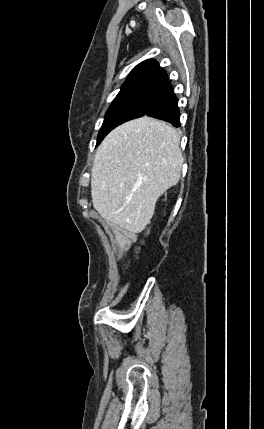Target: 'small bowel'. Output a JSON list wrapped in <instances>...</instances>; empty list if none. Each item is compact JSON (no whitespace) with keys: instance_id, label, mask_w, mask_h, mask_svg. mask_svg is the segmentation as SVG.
I'll return each instance as SVG.
<instances>
[{"instance_id":"c3829d8e","label":"small bowel","mask_w":264,"mask_h":429,"mask_svg":"<svg viewBox=\"0 0 264 429\" xmlns=\"http://www.w3.org/2000/svg\"><path fill=\"white\" fill-rule=\"evenodd\" d=\"M135 240L136 235L132 232L121 228L113 229V244L116 249H127Z\"/></svg>"}]
</instances>
